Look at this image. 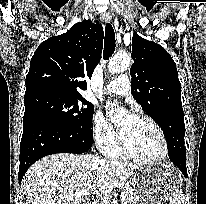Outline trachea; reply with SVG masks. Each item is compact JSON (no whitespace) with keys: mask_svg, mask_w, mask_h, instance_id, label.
I'll list each match as a JSON object with an SVG mask.
<instances>
[{"mask_svg":"<svg viewBox=\"0 0 206 204\" xmlns=\"http://www.w3.org/2000/svg\"><path fill=\"white\" fill-rule=\"evenodd\" d=\"M116 46L115 32L110 23L105 26V39H104V52L103 59L108 60L109 57L114 53Z\"/></svg>","mask_w":206,"mask_h":204,"instance_id":"obj_1","label":"trachea"}]
</instances>
